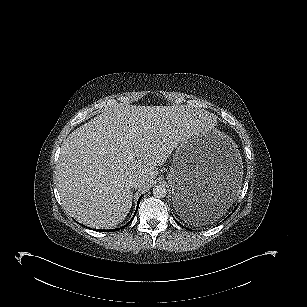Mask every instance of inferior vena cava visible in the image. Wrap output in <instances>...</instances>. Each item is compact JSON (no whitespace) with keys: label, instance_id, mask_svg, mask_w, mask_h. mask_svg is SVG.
Listing matches in <instances>:
<instances>
[{"label":"inferior vena cava","instance_id":"inferior-vena-cava-1","mask_svg":"<svg viewBox=\"0 0 307 307\" xmlns=\"http://www.w3.org/2000/svg\"><path fill=\"white\" fill-rule=\"evenodd\" d=\"M142 181L139 179H134L129 182V187L131 189H138L141 186Z\"/></svg>","mask_w":307,"mask_h":307}]
</instances>
